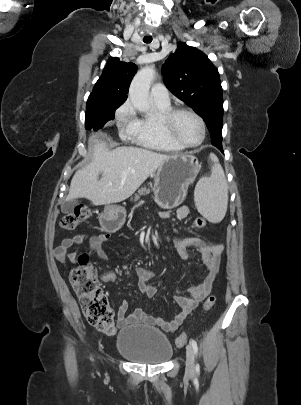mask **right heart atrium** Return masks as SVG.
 Returning <instances> with one entry per match:
<instances>
[{"label":"right heart atrium","mask_w":301,"mask_h":405,"mask_svg":"<svg viewBox=\"0 0 301 405\" xmlns=\"http://www.w3.org/2000/svg\"><path fill=\"white\" fill-rule=\"evenodd\" d=\"M136 118L134 107L129 100L125 101L115 113V120L118 127L125 132H128L136 121Z\"/></svg>","instance_id":"obj_1"}]
</instances>
